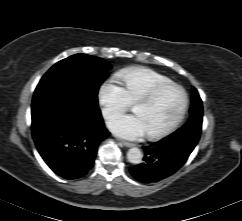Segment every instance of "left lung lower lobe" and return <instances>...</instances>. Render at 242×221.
I'll use <instances>...</instances> for the list:
<instances>
[{
	"label": "left lung lower lobe",
	"instance_id": "left-lung-lower-lobe-1",
	"mask_svg": "<svg viewBox=\"0 0 242 221\" xmlns=\"http://www.w3.org/2000/svg\"><path fill=\"white\" fill-rule=\"evenodd\" d=\"M200 133L175 132L170 137L144 147V162L130 167L131 175L142 183L157 182L174 174L197 145Z\"/></svg>",
	"mask_w": 242,
	"mask_h": 221
}]
</instances>
